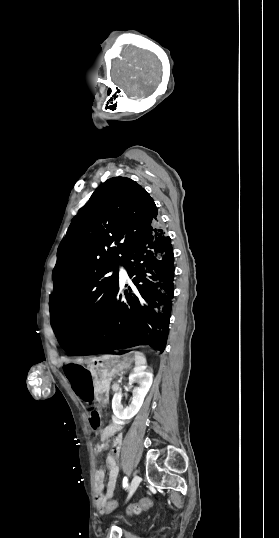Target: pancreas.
Instances as JSON below:
<instances>
[{
  "label": "pancreas",
  "instance_id": "pancreas-1",
  "mask_svg": "<svg viewBox=\"0 0 279 538\" xmlns=\"http://www.w3.org/2000/svg\"><path fill=\"white\" fill-rule=\"evenodd\" d=\"M111 385H113L116 389L121 387V384L116 379L111 380Z\"/></svg>",
  "mask_w": 279,
  "mask_h": 538
}]
</instances>
